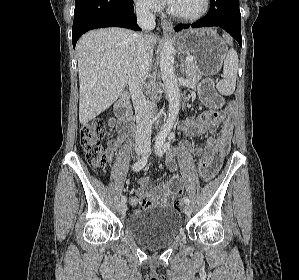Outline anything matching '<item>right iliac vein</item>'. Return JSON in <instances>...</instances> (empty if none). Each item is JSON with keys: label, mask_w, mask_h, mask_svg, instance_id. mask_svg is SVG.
Here are the masks:
<instances>
[{"label": "right iliac vein", "mask_w": 299, "mask_h": 280, "mask_svg": "<svg viewBox=\"0 0 299 280\" xmlns=\"http://www.w3.org/2000/svg\"><path fill=\"white\" fill-rule=\"evenodd\" d=\"M144 153V151L142 149L138 150V154L139 155H142ZM126 210H127V205L122 202L120 205H119V212L121 215H124L126 213Z\"/></svg>", "instance_id": "obj_1"}]
</instances>
